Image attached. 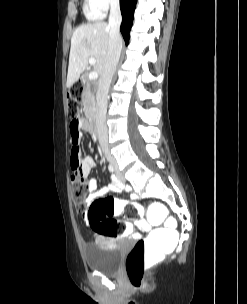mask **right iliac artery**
<instances>
[{"mask_svg":"<svg viewBox=\"0 0 247 304\" xmlns=\"http://www.w3.org/2000/svg\"><path fill=\"white\" fill-rule=\"evenodd\" d=\"M108 169H109V171H110L111 173H113V172H114V167H113V165H112V164H109V165H108ZM112 177H113L112 179H115V180H116V178H115V176H114V175H113Z\"/></svg>","mask_w":247,"mask_h":304,"instance_id":"1","label":"right iliac artery"}]
</instances>
